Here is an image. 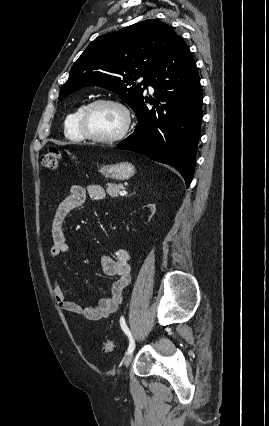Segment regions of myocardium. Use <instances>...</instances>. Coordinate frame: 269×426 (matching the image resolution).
Masks as SVG:
<instances>
[{
	"instance_id": "myocardium-1",
	"label": "myocardium",
	"mask_w": 269,
	"mask_h": 426,
	"mask_svg": "<svg viewBox=\"0 0 269 426\" xmlns=\"http://www.w3.org/2000/svg\"><path fill=\"white\" fill-rule=\"evenodd\" d=\"M97 105H110V106H114L117 109L120 110V112L123 115V125L121 127V129L113 135L110 136H99V135H95L93 133H91L88 129L87 126V116L89 111L97 106ZM79 126L80 129L84 135V137L86 139L92 140V141H96V142H100V143H115L118 142L120 140H122L129 132L130 130V126H131V114L129 109L120 101L118 100H114V99H109V98H98V99H94L92 101H90L89 103H87L81 114H80V118H79Z\"/></svg>"
}]
</instances>
